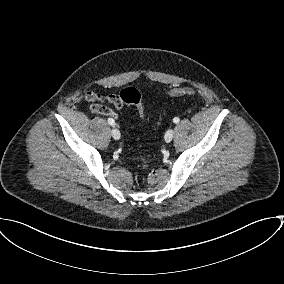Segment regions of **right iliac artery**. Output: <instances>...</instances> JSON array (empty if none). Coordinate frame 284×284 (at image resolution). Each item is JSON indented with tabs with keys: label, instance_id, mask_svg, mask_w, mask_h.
<instances>
[{
	"label": "right iliac artery",
	"instance_id": "82829eb1",
	"mask_svg": "<svg viewBox=\"0 0 284 284\" xmlns=\"http://www.w3.org/2000/svg\"><path fill=\"white\" fill-rule=\"evenodd\" d=\"M108 123H109L111 126H114V125H115V121H114L112 118H108Z\"/></svg>",
	"mask_w": 284,
	"mask_h": 284
}]
</instances>
